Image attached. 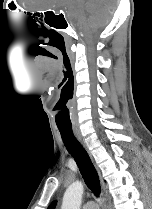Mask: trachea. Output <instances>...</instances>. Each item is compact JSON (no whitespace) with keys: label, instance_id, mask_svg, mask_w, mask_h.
Returning <instances> with one entry per match:
<instances>
[{"label":"trachea","instance_id":"trachea-1","mask_svg":"<svg viewBox=\"0 0 152 209\" xmlns=\"http://www.w3.org/2000/svg\"><path fill=\"white\" fill-rule=\"evenodd\" d=\"M62 140L69 153L75 159L87 187L98 196L101 186L97 171L87 152L73 134L72 127H59Z\"/></svg>","mask_w":152,"mask_h":209}]
</instances>
